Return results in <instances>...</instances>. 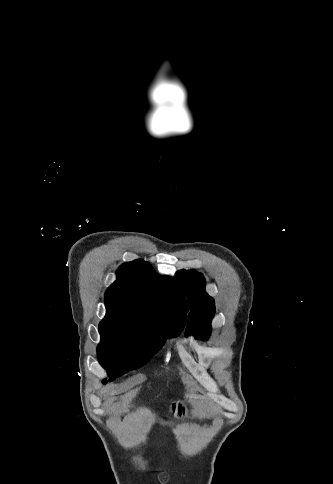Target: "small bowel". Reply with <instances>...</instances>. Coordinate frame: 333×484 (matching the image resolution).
<instances>
[{"label":"small bowel","instance_id":"obj_1","mask_svg":"<svg viewBox=\"0 0 333 484\" xmlns=\"http://www.w3.org/2000/svg\"><path fill=\"white\" fill-rule=\"evenodd\" d=\"M172 410L173 412H176V414H182L185 411V406L182 403H173L172 404Z\"/></svg>","mask_w":333,"mask_h":484}]
</instances>
